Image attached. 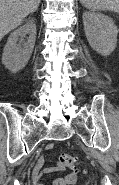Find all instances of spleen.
<instances>
[{
	"mask_svg": "<svg viewBox=\"0 0 119 185\" xmlns=\"http://www.w3.org/2000/svg\"><path fill=\"white\" fill-rule=\"evenodd\" d=\"M91 11H113L119 14V0H80Z\"/></svg>",
	"mask_w": 119,
	"mask_h": 185,
	"instance_id": "1",
	"label": "spleen"
}]
</instances>
